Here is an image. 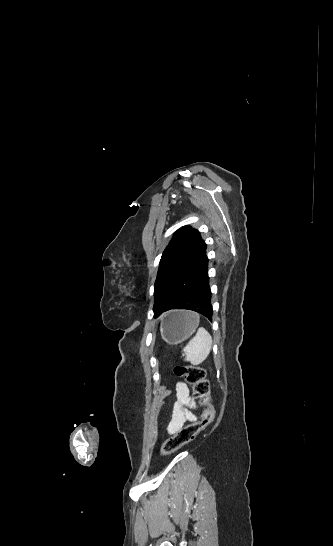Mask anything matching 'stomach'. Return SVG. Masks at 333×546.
Masks as SVG:
<instances>
[{"label": "stomach", "mask_w": 333, "mask_h": 546, "mask_svg": "<svg viewBox=\"0 0 333 546\" xmlns=\"http://www.w3.org/2000/svg\"><path fill=\"white\" fill-rule=\"evenodd\" d=\"M199 325L196 313L190 311H172L161 319L160 332L162 339L177 345L188 339Z\"/></svg>", "instance_id": "0dacf381"}]
</instances>
